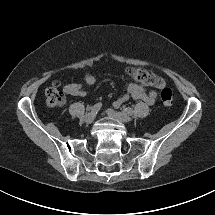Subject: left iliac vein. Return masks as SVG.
Instances as JSON below:
<instances>
[{
    "instance_id": "obj_1",
    "label": "left iliac vein",
    "mask_w": 215,
    "mask_h": 215,
    "mask_svg": "<svg viewBox=\"0 0 215 215\" xmlns=\"http://www.w3.org/2000/svg\"><path fill=\"white\" fill-rule=\"evenodd\" d=\"M108 115L119 122H130L132 117L126 113L117 112L113 109H107Z\"/></svg>"
}]
</instances>
